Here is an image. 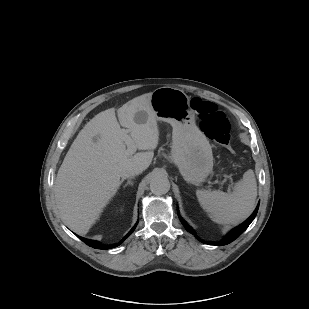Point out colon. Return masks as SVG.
Masks as SVG:
<instances>
[{
	"label": "colon",
	"mask_w": 309,
	"mask_h": 309,
	"mask_svg": "<svg viewBox=\"0 0 309 309\" xmlns=\"http://www.w3.org/2000/svg\"><path fill=\"white\" fill-rule=\"evenodd\" d=\"M191 108L196 113L203 132L232 152L228 121L217 105L195 97L191 100Z\"/></svg>",
	"instance_id": "colon-1"
}]
</instances>
